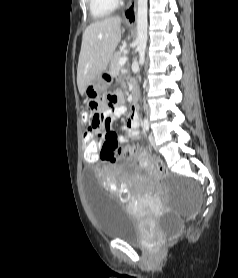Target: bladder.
<instances>
[{
  "label": "bladder",
  "mask_w": 238,
  "mask_h": 278,
  "mask_svg": "<svg viewBox=\"0 0 238 278\" xmlns=\"http://www.w3.org/2000/svg\"><path fill=\"white\" fill-rule=\"evenodd\" d=\"M84 180H95L92 169H83ZM87 200L100 234L109 239L141 244L145 239L142 221L128 212L113 194L100 188L99 181H85Z\"/></svg>",
  "instance_id": "obj_1"
}]
</instances>
